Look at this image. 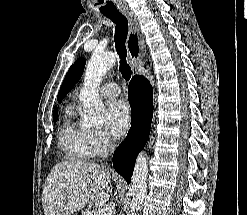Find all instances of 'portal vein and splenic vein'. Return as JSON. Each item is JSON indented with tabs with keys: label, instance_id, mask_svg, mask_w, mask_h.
Wrapping results in <instances>:
<instances>
[{
	"label": "portal vein and splenic vein",
	"instance_id": "18ae733b",
	"mask_svg": "<svg viewBox=\"0 0 247 215\" xmlns=\"http://www.w3.org/2000/svg\"><path fill=\"white\" fill-rule=\"evenodd\" d=\"M112 210L109 207H101L97 211V215H111Z\"/></svg>",
	"mask_w": 247,
	"mask_h": 215
}]
</instances>
